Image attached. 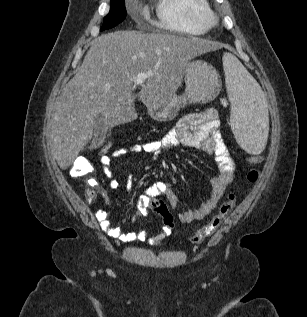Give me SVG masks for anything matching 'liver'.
<instances>
[{
  "mask_svg": "<svg viewBox=\"0 0 307 317\" xmlns=\"http://www.w3.org/2000/svg\"><path fill=\"white\" fill-rule=\"evenodd\" d=\"M218 47L167 33L116 31L97 37L56 105L51 152L60 168L67 169L87 145L98 115L108 127L136 119L132 85L138 73L153 74L139 92L143 104H164L181 85L188 62Z\"/></svg>",
  "mask_w": 307,
  "mask_h": 317,
  "instance_id": "obj_1",
  "label": "liver"
}]
</instances>
